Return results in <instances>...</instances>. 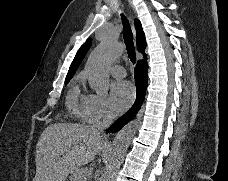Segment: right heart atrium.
<instances>
[{
	"label": "right heart atrium",
	"mask_w": 228,
	"mask_h": 181,
	"mask_svg": "<svg viewBox=\"0 0 228 181\" xmlns=\"http://www.w3.org/2000/svg\"><path fill=\"white\" fill-rule=\"evenodd\" d=\"M110 114L106 98L99 93H91L82 102V118L88 123H97Z\"/></svg>",
	"instance_id": "right-heart-atrium-1"
}]
</instances>
